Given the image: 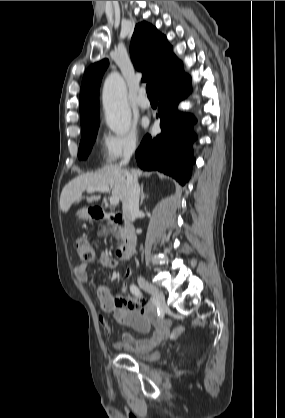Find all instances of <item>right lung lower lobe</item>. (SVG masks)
Wrapping results in <instances>:
<instances>
[{"label":"right lung lower lobe","instance_id":"right-lung-lower-lobe-1","mask_svg":"<svg viewBox=\"0 0 285 418\" xmlns=\"http://www.w3.org/2000/svg\"><path fill=\"white\" fill-rule=\"evenodd\" d=\"M191 91V79L181 73L158 93V115L161 133L154 138L146 135L135 156L143 170H158L175 178L184 185L191 175L195 162L192 145L196 140L191 114L181 113L177 106Z\"/></svg>","mask_w":285,"mask_h":418}]
</instances>
